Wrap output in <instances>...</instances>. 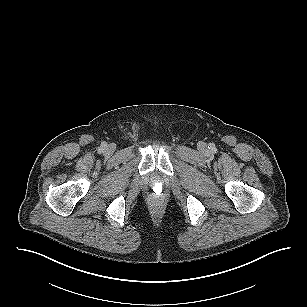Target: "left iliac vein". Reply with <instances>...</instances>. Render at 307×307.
<instances>
[{"label":"left iliac vein","mask_w":307,"mask_h":307,"mask_svg":"<svg viewBox=\"0 0 307 307\" xmlns=\"http://www.w3.org/2000/svg\"><path fill=\"white\" fill-rule=\"evenodd\" d=\"M205 148H206V145H205V144H202V145H201V150H205Z\"/></svg>","instance_id":"1"}]
</instances>
